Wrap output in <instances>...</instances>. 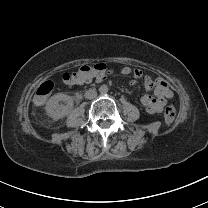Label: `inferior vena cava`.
<instances>
[{"mask_svg": "<svg viewBox=\"0 0 208 208\" xmlns=\"http://www.w3.org/2000/svg\"><path fill=\"white\" fill-rule=\"evenodd\" d=\"M97 96V93L94 89H89L85 92V98L93 99Z\"/></svg>", "mask_w": 208, "mask_h": 208, "instance_id": "602c4592", "label": "inferior vena cava"}]
</instances>
